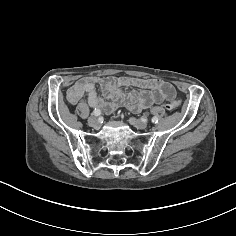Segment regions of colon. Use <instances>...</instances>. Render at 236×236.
<instances>
[{"label":"colon","instance_id":"5ec220e1","mask_svg":"<svg viewBox=\"0 0 236 236\" xmlns=\"http://www.w3.org/2000/svg\"><path fill=\"white\" fill-rule=\"evenodd\" d=\"M180 101L179 100H174L172 101L167 107L169 110H175L179 107Z\"/></svg>","mask_w":236,"mask_h":236}]
</instances>
